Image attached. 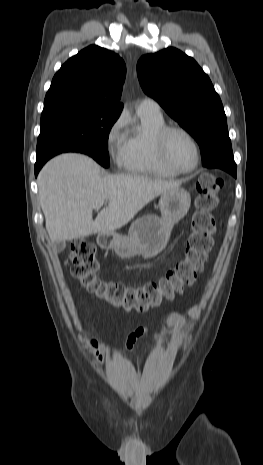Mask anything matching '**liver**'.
Instances as JSON below:
<instances>
[{"label":"liver","mask_w":263,"mask_h":465,"mask_svg":"<svg viewBox=\"0 0 263 465\" xmlns=\"http://www.w3.org/2000/svg\"><path fill=\"white\" fill-rule=\"evenodd\" d=\"M180 185L142 175L101 176L93 159L72 153L48 161L38 176L40 203L52 242L114 233L154 198ZM105 200L109 205L93 220V209Z\"/></svg>","instance_id":"6515ba94"}]
</instances>
